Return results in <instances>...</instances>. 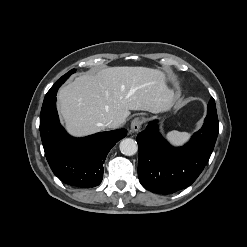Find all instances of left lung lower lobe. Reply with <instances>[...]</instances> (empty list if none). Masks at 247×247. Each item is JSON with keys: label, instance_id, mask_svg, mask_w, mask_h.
Instances as JSON below:
<instances>
[{"label": "left lung lower lobe", "instance_id": "0a47b994", "mask_svg": "<svg viewBox=\"0 0 247 247\" xmlns=\"http://www.w3.org/2000/svg\"><path fill=\"white\" fill-rule=\"evenodd\" d=\"M157 121L137 136L138 176L144 188L155 193H173L191 185L207 164L219 127L204 121L202 128L182 147H172L158 133Z\"/></svg>", "mask_w": 247, "mask_h": 247}]
</instances>
